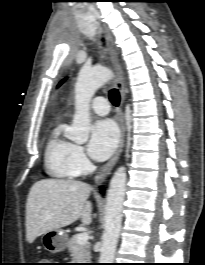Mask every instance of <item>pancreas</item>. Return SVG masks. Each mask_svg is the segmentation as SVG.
I'll use <instances>...</instances> for the list:
<instances>
[{"label":"pancreas","mask_w":205,"mask_h":265,"mask_svg":"<svg viewBox=\"0 0 205 265\" xmlns=\"http://www.w3.org/2000/svg\"><path fill=\"white\" fill-rule=\"evenodd\" d=\"M68 250L74 263H89L91 259L90 246L88 243L79 244L77 235L68 241Z\"/></svg>","instance_id":"1"}]
</instances>
